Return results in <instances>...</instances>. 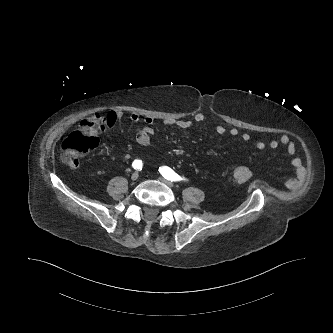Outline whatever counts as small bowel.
<instances>
[{
	"mask_svg": "<svg viewBox=\"0 0 333 333\" xmlns=\"http://www.w3.org/2000/svg\"><path fill=\"white\" fill-rule=\"evenodd\" d=\"M112 117L114 120L120 119L123 116V113L121 111H113L111 112ZM130 120L131 122L137 123L140 121L141 117L136 114L132 113L130 115ZM206 119L205 115L202 113L196 114L193 118L191 119H182L178 121H173V120H165V124L168 126H174L177 127L178 129L181 130H186L190 128L193 124H200L204 122ZM154 118L151 116H145L143 118V122L145 123V126L139 130V132L136 135V141L139 145L142 146H147L151 143L152 138L154 136V129H153V124H154ZM215 131L219 135H224V134H229L232 137H237L240 136V138L247 142L251 139V135L249 133H240V131L235 128H227L223 124H216L215 125ZM284 146L286 148V151L290 157L291 164L294 167V169L297 172V176L300 178L303 174V164L301 159L297 156L296 152V145L295 143L291 140V138L284 134L281 135L278 139H272L268 142V146L272 149L277 148L278 146ZM256 148L262 150L267 146V143L263 140H257L255 143ZM297 180L294 179L291 181V184L295 186L297 184Z\"/></svg>",
	"mask_w": 333,
	"mask_h": 333,
	"instance_id": "obj_1",
	"label": "small bowel"
}]
</instances>
